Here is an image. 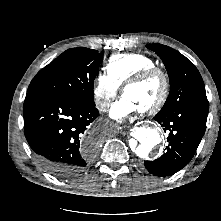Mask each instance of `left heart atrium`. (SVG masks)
<instances>
[{"instance_id": "left-heart-atrium-1", "label": "left heart atrium", "mask_w": 221, "mask_h": 221, "mask_svg": "<svg viewBox=\"0 0 221 221\" xmlns=\"http://www.w3.org/2000/svg\"><path fill=\"white\" fill-rule=\"evenodd\" d=\"M139 111V107L128 96L123 95L114 102L110 108V116L113 119L122 120Z\"/></svg>"}]
</instances>
